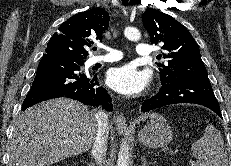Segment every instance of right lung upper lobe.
Listing matches in <instances>:
<instances>
[{
  "label": "right lung upper lobe",
  "mask_w": 231,
  "mask_h": 166,
  "mask_svg": "<svg viewBox=\"0 0 231 166\" xmlns=\"http://www.w3.org/2000/svg\"><path fill=\"white\" fill-rule=\"evenodd\" d=\"M109 20L108 13L102 8L70 17L50 38L45 55L73 62L84 61L87 57L85 47L93 43V38L102 39V34L109 27Z\"/></svg>",
  "instance_id": "cb5924a9"
}]
</instances>
